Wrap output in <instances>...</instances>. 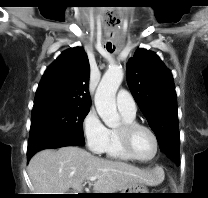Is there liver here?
<instances>
[{
	"label": "liver",
	"mask_w": 208,
	"mask_h": 198,
	"mask_svg": "<svg viewBox=\"0 0 208 198\" xmlns=\"http://www.w3.org/2000/svg\"><path fill=\"white\" fill-rule=\"evenodd\" d=\"M28 173L35 194H69L65 192L70 188L80 193L90 177H96L95 193H116L133 183L156 185L163 180V174L102 159L75 146L36 153Z\"/></svg>",
	"instance_id": "liver-1"
}]
</instances>
